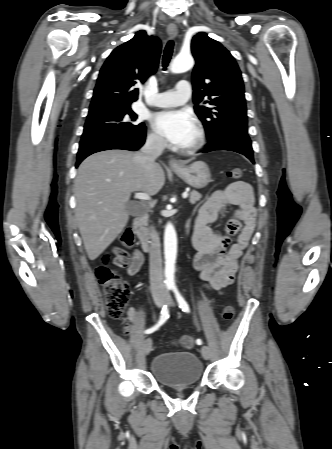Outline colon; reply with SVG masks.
Listing matches in <instances>:
<instances>
[{"instance_id": "obj_1", "label": "colon", "mask_w": 332, "mask_h": 449, "mask_svg": "<svg viewBox=\"0 0 332 449\" xmlns=\"http://www.w3.org/2000/svg\"><path fill=\"white\" fill-rule=\"evenodd\" d=\"M243 171L239 167L232 168L228 172V176L238 180L242 177ZM135 237L130 228L126 229L121 235V243L130 247L134 244ZM113 263L118 266L127 264V258L124 250L115 248ZM109 257L103 259L102 264L97 268L96 275L99 283L103 287V294L106 302L108 314L111 318L122 320L125 318L126 307L129 300V286L121 279V277L111 268L108 267ZM235 309L232 305H227L223 310V318L231 320L234 317ZM178 345L185 349H190L194 345V340L189 335L182 336Z\"/></svg>"}]
</instances>
